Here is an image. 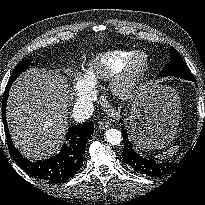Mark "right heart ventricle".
<instances>
[{
    "label": "right heart ventricle",
    "instance_id": "obj_1",
    "mask_svg": "<svg viewBox=\"0 0 205 205\" xmlns=\"http://www.w3.org/2000/svg\"><path fill=\"white\" fill-rule=\"evenodd\" d=\"M135 53L132 50H111L96 54L83 69L79 80L88 87H95L113 77Z\"/></svg>",
    "mask_w": 205,
    "mask_h": 205
}]
</instances>
